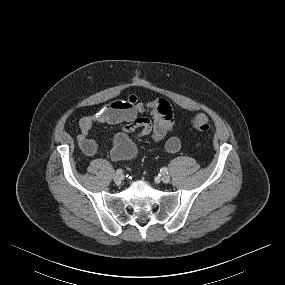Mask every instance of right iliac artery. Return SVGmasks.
Segmentation results:
<instances>
[{
	"label": "right iliac artery",
	"mask_w": 285,
	"mask_h": 285,
	"mask_svg": "<svg viewBox=\"0 0 285 285\" xmlns=\"http://www.w3.org/2000/svg\"><path fill=\"white\" fill-rule=\"evenodd\" d=\"M122 172H123L122 169H118V170L116 171V174L120 175V174H122Z\"/></svg>",
	"instance_id": "obj_1"
}]
</instances>
